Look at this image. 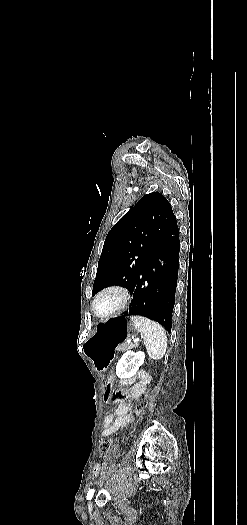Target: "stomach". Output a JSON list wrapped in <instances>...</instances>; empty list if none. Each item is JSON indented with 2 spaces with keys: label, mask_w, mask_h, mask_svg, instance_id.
I'll list each match as a JSON object with an SVG mask.
<instances>
[{
  "label": "stomach",
  "mask_w": 247,
  "mask_h": 525,
  "mask_svg": "<svg viewBox=\"0 0 247 525\" xmlns=\"http://www.w3.org/2000/svg\"><path fill=\"white\" fill-rule=\"evenodd\" d=\"M131 318L115 317L99 324L84 344V353L97 371H105L120 344L138 334Z\"/></svg>",
  "instance_id": "obj_1"
}]
</instances>
